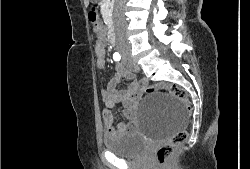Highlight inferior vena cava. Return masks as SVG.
<instances>
[{
    "instance_id": "inferior-vena-cava-1",
    "label": "inferior vena cava",
    "mask_w": 250,
    "mask_h": 169,
    "mask_svg": "<svg viewBox=\"0 0 250 169\" xmlns=\"http://www.w3.org/2000/svg\"><path fill=\"white\" fill-rule=\"evenodd\" d=\"M125 2L126 0H115L112 18L116 32H125V30H127L124 14Z\"/></svg>"
}]
</instances>
